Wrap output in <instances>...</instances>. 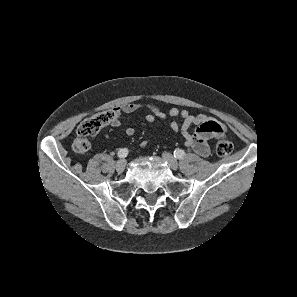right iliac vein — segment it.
Masks as SVG:
<instances>
[{"mask_svg":"<svg viewBox=\"0 0 297 297\" xmlns=\"http://www.w3.org/2000/svg\"><path fill=\"white\" fill-rule=\"evenodd\" d=\"M126 167V160L121 159L115 164V169L118 173H122Z\"/></svg>","mask_w":297,"mask_h":297,"instance_id":"obj_1","label":"right iliac vein"}]
</instances>
